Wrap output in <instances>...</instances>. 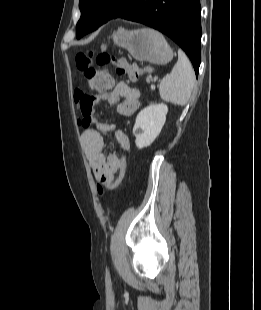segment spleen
I'll return each mask as SVG.
<instances>
[{
    "mask_svg": "<svg viewBox=\"0 0 261 310\" xmlns=\"http://www.w3.org/2000/svg\"><path fill=\"white\" fill-rule=\"evenodd\" d=\"M194 69L181 50H178V61L170 74L166 75L159 86L160 97L163 101L185 106L195 85Z\"/></svg>",
    "mask_w": 261,
    "mask_h": 310,
    "instance_id": "1",
    "label": "spleen"
}]
</instances>
